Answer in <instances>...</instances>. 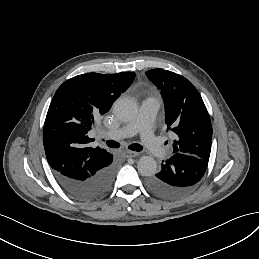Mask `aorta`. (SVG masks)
Masks as SVG:
<instances>
[{
  "label": "aorta",
  "instance_id": "obj_1",
  "mask_svg": "<svg viewBox=\"0 0 259 259\" xmlns=\"http://www.w3.org/2000/svg\"><path fill=\"white\" fill-rule=\"evenodd\" d=\"M115 116L121 121H131L138 112L136 101L130 97L118 98L113 107ZM138 172L143 176H153L157 171V162L151 156H142L137 162Z\"/></svg>",
  "mask_w": 259,
  "mask_h": 259
}]
</instances>
